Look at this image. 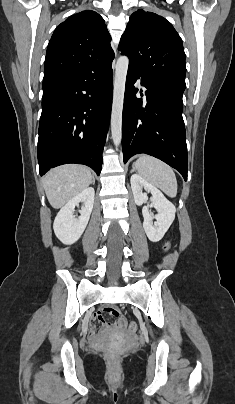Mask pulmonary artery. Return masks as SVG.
I'll return each instance as SVG.
<instances>
[{
	"label": "pulmonary artery",
	"instance_id": "pulmonary-artery-1",
	"mask_svg": "<svg viewBox=\"0 0 235 404\" xmlns=\"http://www.w3.org/2000/svg\"><path fill=\"white\" fill-rule=\"evenodd\" d=\"M139 85L143 90H145L144 86L142 85V83L140 81H139Z\"/></svg>",
	"mask_w": 235,
	"mask_h": 404
}]
</instances>
